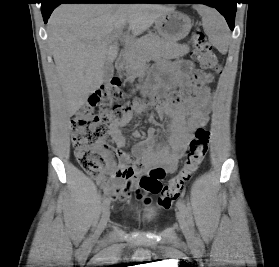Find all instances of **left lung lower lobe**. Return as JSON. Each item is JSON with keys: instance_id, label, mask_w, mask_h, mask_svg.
<instances>
[{"instance_id": "1", "label": "left lung lower lobe", "mask_w": 279, "mask_h": 267, "mask_svg": "<svg viewBox=\"0 0 279 267\" xmlns=\"http://www.w3.org/2000/svg\"><path fill=\"white\" fill-rule=\"evenodd\" d=\"M145 3H200L216 8L226 19L231 30L234 29L236 0H147Z\"/></svg>"}]
</instances>
